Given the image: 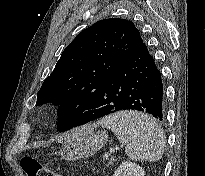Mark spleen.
Segmentation results:
<instances>
[{
  "label": "spleen",
  "instance_id": "obj_1",
  "mask_svg": "<svg viewBox=\"0 0 205 176\" xmlns=\"http://www.w3.org/2000/svg\"><path fill=\"white\" fill-rule=\"evenodd\" d=\"M111 129L117 139L125 145V152L138 161H159L164 153L165 139L159 125L145 113L120 111L99 121Z\"/></svg>",
  "mask_w": 205,
  "mask_h": 176
}]
</instances>
